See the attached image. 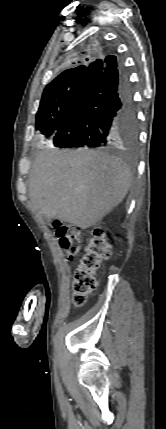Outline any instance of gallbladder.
<instances>
[{"mask_svg": "<svg viewBox=\"0 0 166 429\" xmlns=\"http://www.w3.org/2000/svg\"><path fill=\"white\" fill-rule=\"evenodd\" d=\"M43 218H44V220L47 222L48 221V218H46L45 216H43Z\"/></svg>", "mask_w": 166, "mask_h": 429, "instance_id": "obj_1", "label": "gallbladder"}]
</instances>
